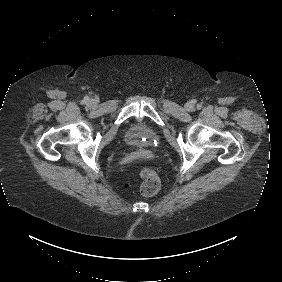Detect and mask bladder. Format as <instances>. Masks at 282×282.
<instances>
[{
    "label": "bladder",
    "instance_id": "bladder-1",
    "mask_svg": "<svg viewBox=\"0 0 282 282\" xmlns=\"http://www.w3.org/2000/svg\"><path fill=\"white\" fill-rule=\"evenodd\" d=\"M125 143L133 148L151 149L159 142V136L156 130L144 122L131 124L125 134Z\"/></svg>",
    "mask_w": 282,
    "mask_h": 282
}]
</instances>
